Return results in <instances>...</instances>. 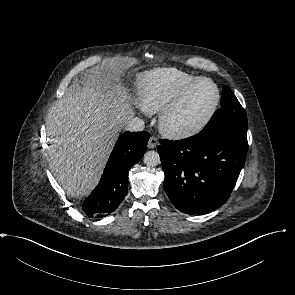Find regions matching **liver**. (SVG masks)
Returning <instances> with one entry per match:
<instances>
[{"mask_svg": "<svg viewBox=\"0 0 295 295\" xmlns=\"http://www.w3.org/2000/svg\"><path fill=\"white\" fill-rule=\"evenodd\" d=\"M130 99L118 76L103 73L74 85L49 110L48 158L67 194L87 195L98 184L118 131L134 114Z\"/></svg>", "mask_w": 295, "mask_h": 295, "instance_id": "6515ba94", "label": "liver"}]
</instances>
